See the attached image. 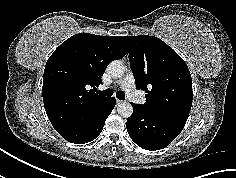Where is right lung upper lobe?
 Wrapping results in <instances>:
<instances>
[{"mask_svg":"<svg viewBox=\"0 0 236 178\" xmlns=\"http://www.w3.org/2000/svg\"><path fill=\"white\" fill-rule=\"evenodd\" d=\"M127 50L124 37L80 33L53 52L45 66L42 95L47 116L60 135L86 127L102 113L110 98L94 91L108 63Z\"/></svg>","mask_w":236,"mask_h":178,"instance_id":"1","label":"right lung upper lobe"}]
</instances>
